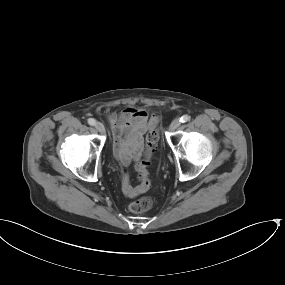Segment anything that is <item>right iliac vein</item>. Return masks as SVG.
I'll list each match as a JSON object with an SVG mask.
<instances>
[{
  "label": "right iliac vein",
  "instance_id": "1",
  "mask_svg": "<svg viewBox=\"0 0 285 285\" xmlns=\"http://www.w3.org/2000/svg\"><path fill=\"white\" fill-rule=\"evenodd\" d=\"M95 128L97 129L98 132H100L101 134L105 133V128L104 125L101 122H97L95 124Z\"/></svg>",
  "mask_w": 285,
  "mask_h": 285
}]
</instances>
